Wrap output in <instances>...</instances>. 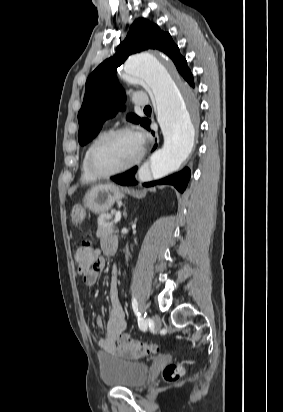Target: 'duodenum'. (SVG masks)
I'll return each mask as SVG.
<instances>
[{
  "mask_svg": "<svg viewBox=\"0 0 283 412\" xmlns=\"http://www.w3.org/2000/svg\"><path fill=\"white\" fill-rule=\"evenodd\" d=\"M118 250V243L112 244L110 247V252L115 253Z\"/></svg>",
  "mask_w": 283,
  "mask_h": 412,
  "instance_id": "obj_1",
  "label": "duodenum"
}]
</instances>
